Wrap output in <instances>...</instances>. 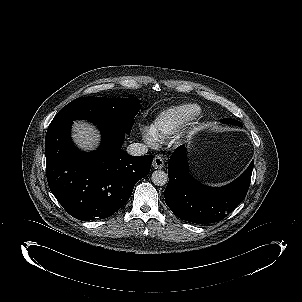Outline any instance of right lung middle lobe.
<instances>
[{
	"label": "right lung middle lobe",
	"mask_w": 302,
	"mask_h": 302,
	"mask_svg": "<svg viewBox=\"0 0 302 302\" xmlns=\"http://www.w3.org/2000/svg\"><path fill=\"white\" fill-rule=\"evenodd\" d=\"M141 101L131 98L81 97L63 107L49 126L79 119L114 124L130 134Z\"/></svg>",
	"instance_id": "1"
}]
</instances>
